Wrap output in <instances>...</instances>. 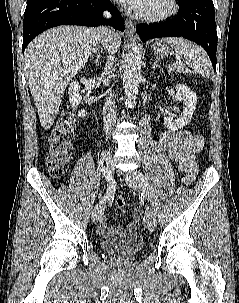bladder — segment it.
Segmentation results:
<instances>
[{
	"label": "bladder",
	"instance_id": "obj_1",
	"mask_svg": "<svg viewBox=\"0 0 239 303\" xmlns=\"http://www.w3.org/2000/svg\"><path fill=\"white\" fill-rule=\"evenodd\" d=\"M143 239L139 233H126L116 238L103 240L100 247L108 256L131 257L143 249Z\"/></svg>",
	"mask_w": 239,
	"mask_h": 303
}]
</instances>
